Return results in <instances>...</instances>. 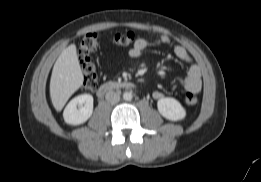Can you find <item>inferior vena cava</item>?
Masks as SVG:
<instances>
[{"label": "inferior vena cava", "instance_id": "1", "mask_svg": "<svg viewBox=\"0 0 261 182\" xmlns=\"http://www.w3.org/2000/svg\"><path fill=\"white\" fill-rule=\"evenodd\" d=\"M105 99L111 104H116L120 101V94L114 91H108L105 95Z\"/></svg>", "mask_w": 261, "mask_h": 182}]
</instances>
